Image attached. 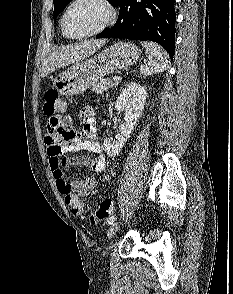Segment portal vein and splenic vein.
<instances>
[{"label":"portal vein and splenic vein","mask_w":233,"mask_h":294,"mask_svg":"<svg viewBox=\"0 0 233 294\" xmlns=\"http://www.w3.org/2000/svg\"><path fill=\"white\" fill-rule=\"evenodd\" d=\"M113 80H114V81H119V80H120V78H119V77H117V76H114V77H113Z\"/></svg>","instance_id":"18ae733b"}]
</instances>
